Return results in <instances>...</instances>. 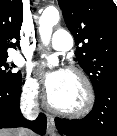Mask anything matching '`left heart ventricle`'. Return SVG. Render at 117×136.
I'll return each mask as SVG.
<instances>
[{"mask_svg": "<svg viewBox=\"0 0 117 136\" xmlns=\"http://www.w3.org/2000/svg\"><path fill=\"white\" fill-rule=\"evenodd\" d=\"M49 96L54 105L64 109H76L85 100V93L81 81L69 72H66L62 85Z\"/></svg>", "mask_w": 117, "mask_h": 136, "instance_id": "1", "label": "left heart ventricle"}]
</instances>
